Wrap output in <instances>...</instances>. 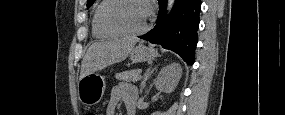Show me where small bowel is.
<instances>
[{"label": "small bowel", "instance_id": "obj_1", "mask_svg": "<svg viewBox=\"0 0 285 115\" xmlns=\"http://www.w3.org/2000/svg\"><path fill=\"white\" fill-rule=\"evenodd\" d=\"M136 101L135 90L125 83L117 84L113 87L106 107V115H115L120 103L127 109L128 115H134V104Z\"/></svg>", "mask_w": 285, "mask_h": 115}]
</instances>
